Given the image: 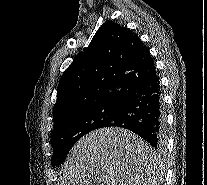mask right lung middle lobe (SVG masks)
I'll return each mask as SVG.
<instances>
[{"label":"right lung middle lobe","mask_w":207,"mask_h":185,"mask_svg":"<svg viewBox=\"0 0 207 185\" xmlns=\"http://www.w3.org/2000/svg\"><path fill=\"white\" fill-rule=\"evenodd\" d=\"M119 103L105 104L67 117L55 124L52 131L53 167L61 165L72 146L85 134L105 127L117 118Z\"/></svg>","instance_id":"dd1d6c3e"}]
</instances>
